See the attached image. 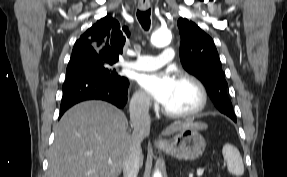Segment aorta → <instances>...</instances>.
I'll return each instance as SVG.
<instances>
[{
    "label": "aorta",
    "mask_w": 287,
    "mask_h": 177,
    "mask_svg": "<svg viewBox=\"0 0 287 177\" xmlns=\"http://www.w3.org/2000/svg\"><path fill=\"white\" fill-rule=\"evenodd\" d=\"M172 39L171 32L169 30H157L152 33L150 41L152 45L156 47H164L170 44ZM153 177H162V174L159 170H156L153 173Z\"/></svg>",
    "instance_id": "762f6f07"
}]
</instances>
